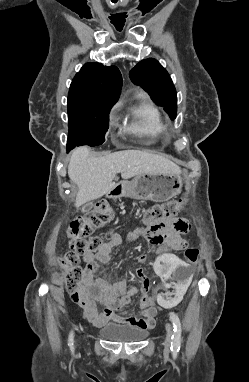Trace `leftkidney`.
I'll return each instance as SVG.
<instances>
[{
  "mask_svg": "<svg viewBox=\"0 0 249 382\" xmlns=\"http://www.w3.org/2000/svg\"><path fill=\"white\" fill-rule=\"evenodd\" d=\"M154 271L161 277L165 291H159L155 296L156 306L164 309H175L188 293L194 270H182L186 263L176 255L166 254L152 261Z\"/></svg>",
  "mask_w": 249,
  "mask_h": 382,
  "instance_id": "left-kidney-1",
  "label": "left kidney"
}]
</instances>
